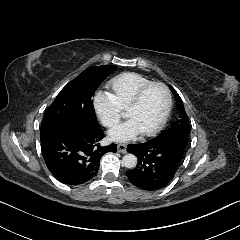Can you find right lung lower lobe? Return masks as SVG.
Listing matches in <instances>:
<instances>
[{
  "label": "right lung lower lobe",
  "mask_w": 240,
  "mask_h": 240,
  "mask_svg": "<svg viewBox=\"0 0 240 240\" xmlns=\"http://www.w3.org/2000/svg\"><path fill=\"white\" fill-rule=\"evenodd\" d=\"M100 126L70 125L41 134V145L49 171L62 183L78 185L89 181L99 169L101 157L116 152L117 145L100 146Z\"/></svg>",
  "instance_id": "1"
}]
</instances>
